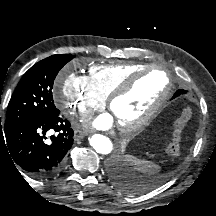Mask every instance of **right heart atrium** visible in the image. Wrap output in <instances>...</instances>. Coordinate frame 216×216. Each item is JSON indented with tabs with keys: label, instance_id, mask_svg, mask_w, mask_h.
<instances>
[{
	"label": "right heart atrium",
	"instance_id": "1",
	"mask_svg": "<svg viewBox=\"0 0 216 216\" xmlns=\"http://www.w3.org/2000/svg\"><path fill=\"white\" fill-rule=\"evenodd\" d=\"M53 99L67 118L89 116L105 105V99L95 91L89 77L75 73L60 76L54 88Z\"/></svg>",
	"mask_w": 216,
	"mask_h": 216
}]
</instances>
